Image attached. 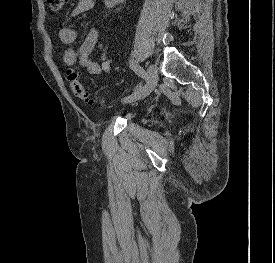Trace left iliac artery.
Instances as JSON below:
<instances>
[{"label":"left iliac artery","mask_w":275,"mask_h":263,"mask_svg":"<svg viewBox=\"0 0 275 263\" xmlns=\"http://www.w3.org/2000/svg\"><path fill=\"white\" fill-rule=\"evenodd\" d=\"M129 64H130L131 69L136 74H138L139 76H141L144 79L147 78V74H146L145 70L138 64V62L134 58L130 59Z\"/></svg>","instance_id":"obj_1"}]
</instances>
